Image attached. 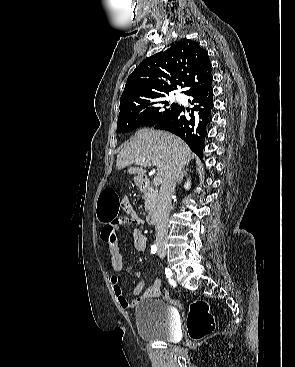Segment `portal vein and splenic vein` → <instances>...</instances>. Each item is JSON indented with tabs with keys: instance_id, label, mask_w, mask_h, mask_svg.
<instances>
[{
	"instance_id": "portal-vein-and-splenic-vein-1",
	"label": "portal vein and splenic vein",
	"mask_w": 295,
	"mask_h": 367,
	"mask_svg": "<svg viewBox=\"0 0 295 367\" xmlns=\"http://www.w3.org/2000/svg\"><path fill=\"white\" fill-rule=\"evenodd\" d=\"M154 165L156 164V162H152ZM161 182H162V178L160 177V176H156L155 178H154V180H153V184L155 185V186H157V185H160L161 184Z\"/></svg>"
}]
</instances>
